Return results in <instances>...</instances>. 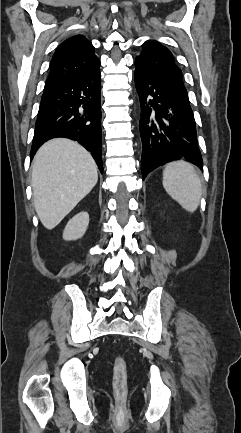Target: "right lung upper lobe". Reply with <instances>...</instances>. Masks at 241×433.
I'll return each mask as SVG.
<instances>
[{
  "label": "right lung upper lobe",
  "instance_id": "1",
  "mask_svg": "<svg viewBox=\"0 0 241 433\" xmlns=\"http://www.w3.org/2000/svg\"><path fill=\"white\" fill-rule=\"evenodd\" d=\"M99 66L100 60L94 54L92 43L83 35L70 37L55 51L45 87L92 72Z\"/></svg>",
  "mask_w": 241,
  "mask_h": 433
}]
</instances>
